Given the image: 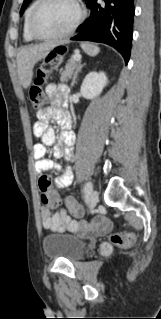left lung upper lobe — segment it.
Instances as JSON below:
<instances>
[{
  "label": "left lung upper lobe",
  "mask_w": 161,
  "mask_h": 319,
  "mask_svg": "<svg viewBox=\"0 0 161 319\" xmlns=\"http://www.w3.org/2000/svg\"><path fill=\"white\" fill-rule=\"evenodd\" d=\"M32 0H24V3L22 5V8L20 10V14H23L24 10L26 9V7L28 6V4L31 2ZM86 4H88L89 0H85Z\"/></svg>",
  "instance_id": "obj_1"
}]
</instances>
